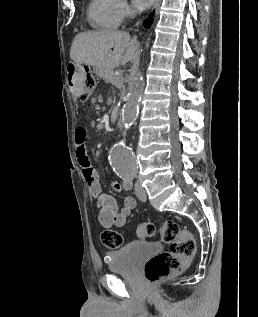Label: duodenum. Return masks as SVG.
<instances>
[{"label":"duodenum","instance_id":"1","mask_svg":"<svg viewBox=\"0 0 258 317\" xmlns=\"http://www.w3.org/2000/svg\"><path fill=\"white\" fill-rule=\"evenodd\" d=\"M82 81V70L76 65H68L67 67V83L69 90L77 93L80 90Z\"/></svg>","mask_w":258,"mask_h":317}]
</instances>
